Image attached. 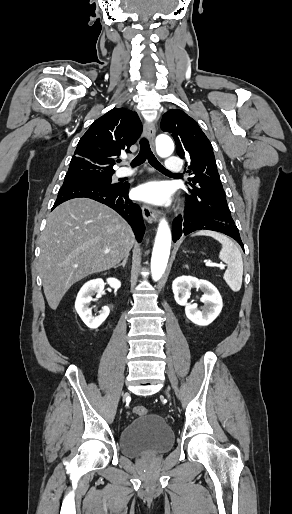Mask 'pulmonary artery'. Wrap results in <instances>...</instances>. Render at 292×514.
<instances>
[{"instance_id": "1", "label": "pulmonary artery", "mask_w": 292, "mask_h": 514, "mask_svg": "<svg viewBox=\"0 0 292 514\" xmlns=\"http://www.w3.org/2000/svg\"><path fill=\"white\" fill-rule=\"evenodd\" d=\"M166 169L169 172H182L184 169V164L182 161H179L176 156H169L166 160ZM130 175L124 168H121L117 171V176L126 177Z\"/></svg>"}]
</instances>
